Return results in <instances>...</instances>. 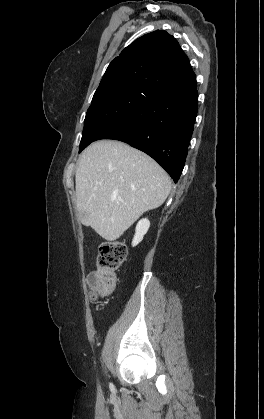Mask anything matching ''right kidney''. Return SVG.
Listing matches in <instances>:
<instances>
[{"label":"right kidney","mask_w":264,"mask_h":419,"mask_svg":"<svg viewBox=\"0 0 264 419\" xmlns=\"http://www.w3.org/2000/svg\"><path fill=\"white\" fill-rule=\"evenodd\" d=\"M150 227V222L148 219H142L138 222L137 226H136V232L132 241V246H136L137 244H139L144 235L147 233L148 229Z\"/></svg>","instance_id":"obj_1"}]
</instances>
